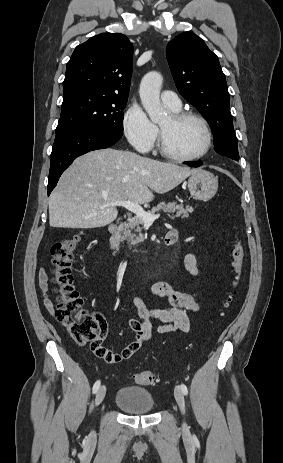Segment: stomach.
Segmentation results:
<instances>
[{"instance_id": "1", "label": "stomach", "mask_w": 283, "mask_h": 463, "mask_svg": "<svg viewBox=\"0 0 283 463\" xmlns=\"http://www.w3.org/2000/svg\"><path fill=\"white\" fill-rule=\"evenodd\" d=\"M187 185L190 194L195 199L208 201L213 198L217 192L218 179L213 173L199 169L189 177Z\"/></svg>"}]
</instances>
